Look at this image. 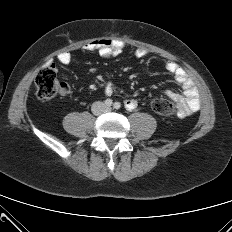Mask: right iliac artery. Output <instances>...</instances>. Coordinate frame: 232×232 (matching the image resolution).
<instances>
[{
    "mask_svg": "<svg viewBox=\"0 0 232 232\" xmlns=\"http://www.w3.org/2000/svg\"><path fill=\"white\" fill-rule=\"evenodd\" d=\"M112 104H113V101L111 99L108 98V99L105 100V105L106 106L110 107Z\"/></svg>",
    "mask_w": 232,
    "mask_h": 232,
    "instance_id": "obj_1",
    "label": "right iliac artery"
}]
</instances>
